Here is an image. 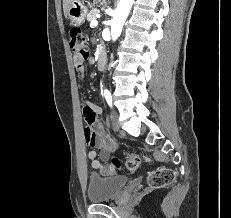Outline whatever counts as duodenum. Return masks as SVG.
<instances>
[{
  "label": "duodenum",
  "mask_w": 231,
  "mask_h": 218,
  "mask_svg": "<svg viewBox=\"0 0 231 218\" xmlns=\"http://www.w3.org/2000/svg\"><path fill=\"white\" fill-rule=\"evenodd\" d=\"M104 60H105V53H104V51L101 49V50L98 52L97 56H96V64H97V66H102L103 63H104Z\"/></svg>",
  "instance_id": "1"
}]
</instances>
